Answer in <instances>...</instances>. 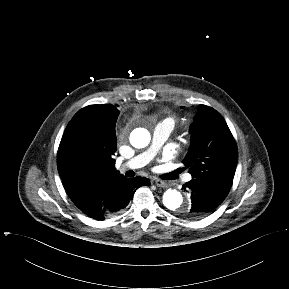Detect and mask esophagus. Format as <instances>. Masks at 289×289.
Instances as JSON below:
<instances>
[{"instance_id":"obj_1","label":"esophagus","mask_w":289,"mask_h":289,"mask_svg":"<svg viewBox=\"0 0 289 289\" xmlns=\"http://www.w3.org/2000/svg\"><path fill=\"white\" fill-rule=\"evenodd\" d=\"M154 182L158 187H166L167 186V183L163 180H160V179H154Z\"/></svg>"}]
</instances>
